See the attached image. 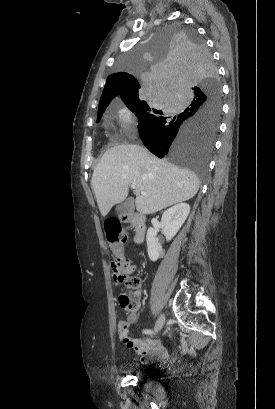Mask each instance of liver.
<instances>
[{
  "label": "liver",
  "instance_id": "liver-1",
  "mask_svg": "<svg viewBox=\"0 0 275 409\" xmlns=\"http://www.w3.org/2000/svg\"><path fill=\"white\" fill-rule=\"evenodd\" d=\"M92 184L99 211L106 217L113 205L125 200L130 184H135L137 211L151 215L192 198L200 182L192 170L157 158L140 144H116L95 166Z\"/></svg>",
  "mask_w": 275,
  "mask_h": 409
}]
</instances>
